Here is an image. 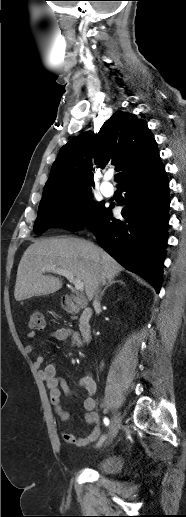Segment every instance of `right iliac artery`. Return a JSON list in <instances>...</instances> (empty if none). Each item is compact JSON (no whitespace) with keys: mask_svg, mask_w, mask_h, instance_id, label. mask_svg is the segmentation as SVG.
<instances>
[{"mask_svg":"<svg viewBox=\"0 0 186 517\" xmlns=\"http://www.w3.org/2000/svg\"><path fill=\"white\" fill-rule=\"evenodd\" d=\"M103 421H104V424H105L106 426H108V425H109V419H108V418H106V417H105V418L103 419Z\"/></svg>","mask_w":186,"mask_h":517,"instance_id":"82829eb1","label":"right iliac artery"}]
</instances>
